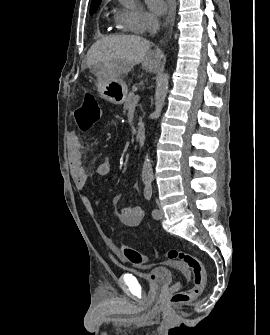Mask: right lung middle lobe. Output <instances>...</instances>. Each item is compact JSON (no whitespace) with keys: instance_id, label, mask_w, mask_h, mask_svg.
I'll return each instance as SVG.
<instances>
[{"instance_id":"right-lung-middle-lobe-1","label":"right lung middle lobe","mask_w":270,"mask_h":335,"mask_svg":"<svg viewBox=\"0 0 270 335\" xmlns=\"http://www.w3.org/2000/svg\"><path fill=\"white\" fill-rule=\"evenodd\" d=\"M98 5H99V3L91 5V8H90V13L91 14L96 10V8H97Z\"/></svg>"}]
</instances>
